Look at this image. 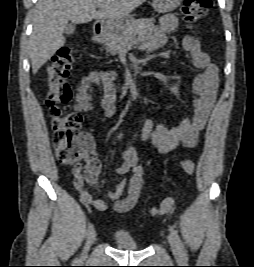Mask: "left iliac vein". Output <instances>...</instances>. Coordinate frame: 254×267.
Here are the masks:
<instances>
[{
    "mask_svg": "<svg viewBox=\"0 0 254 267\" xmlns=\"http://www.w3.org/2000/svg\"><path fill=\"white\" fill-rule=\"evenodd\" d=\"M168 242L170 244L172 253L176 256L179 257L180 256V251L176 242V239L174 238V236L172 234H169L168 237Z\"/></svg>",
    "mask_w": 254,
    "mask_h": 267,
    "instance_id": "left-iliac-vein-1",
    "label": "left iliac vein"
}]
</instances>
